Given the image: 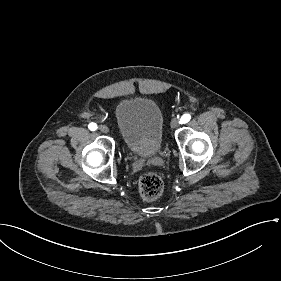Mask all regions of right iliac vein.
Returning a JSON list of instances; mask_svg holds the SVG:
<instances>
[{"mask_svg":"<svg viewBox=\"0 0 281 281\" xmlns=\"http://www.w3.org/2000/svg\"><path fill=\"white\" fill-rule=\"evenodd\" d=\"M99 130L103 133H108L109 132V128L106 125H100L99 126Z\"/></svg>","mask_w":281,"mask_h":281,"instance_id":"obj_1","label":"right iliac vein"}]
</instances>
